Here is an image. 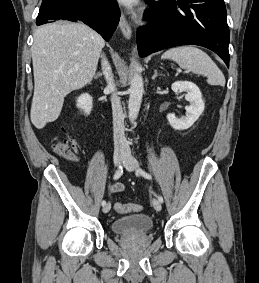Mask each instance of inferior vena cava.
Returning a JSON list of instances; mask_svg holds the SVG:
<instances>
[{
    "instance_id": "inferior-vena-cava-1",
    "label": "inferior vena cava",
    "mask_w": 259,
    "mask_h": 283,
    "mask_svg": "<svg viewBox=\"0 0 259 283\" xmlns=\"http://www.w3.org/2000/svg\"><path fill=\"white\" fill-rule=\"evenodd\" d=\"M102 70L107 82V88L112 92L111 103L113 112L114 146L115 148L126 150L128 148V142L124 134V114L120 98L115 93L116 87L111 67L105 58L102 61Z\"/></svg>"
}]
</instances>
